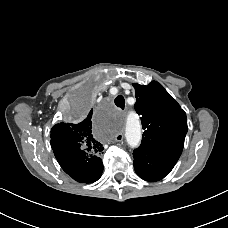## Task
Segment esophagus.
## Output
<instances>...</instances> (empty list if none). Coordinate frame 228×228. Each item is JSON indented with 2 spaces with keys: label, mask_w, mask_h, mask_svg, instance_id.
Wrapping results in <instances>:
<instances>
[{
  "label": "esophagus",
  "mask_w": 228,
  "mask_h": 228,
  "mask_svg": "<svg viewBox=\"0 0 228 228\" xmlns=\"http://www.w3.org/2000/svg\"><path fill=\"white\" fill-rule=\"evenodd\" d=\"M115 140L117 142H121L124 140V134L123 133H118L116 136H115Z\"/></svg>",
  "instance_id": "34e87169"
}]
</instances>
